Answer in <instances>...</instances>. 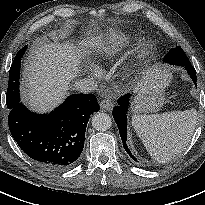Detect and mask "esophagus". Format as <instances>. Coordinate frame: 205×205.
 Returning <instances> with one entry per match:
<instances>
[{"label": "esophagus", "instance_id": "1", "mask_svg": "<svg viewBox=\"0 0 205 205\" xmlns=\"http://www.w3.org/2000/svg\"><path fill=\"white\" fill-rule=\"evenodd\" d=\"M100 107L104 111H111L112 108L114 107V104L110 98H105L100 102Z\"/></svg>", "mask_w": 205, "mask_h": 205}]
</instances>
